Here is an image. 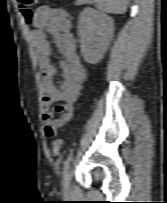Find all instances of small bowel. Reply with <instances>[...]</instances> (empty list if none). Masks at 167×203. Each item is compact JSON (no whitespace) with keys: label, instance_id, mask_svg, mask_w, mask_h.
I'll return each instance as SVG.
<instances>
[{"label":"small bowel","instance_id":"c3829d8e","mask_svg":"<svg viewBox=\"0 0 167 203\" xmlns=\"http://www.w3.org/2000/svg\"><path fill=\"white\" fill-rule=\"evenodd\" d=\"M32 23L31 40L43 79L44 132L47 137H52L73 117L81 84L86 79V69L78 56L72 22L66 12L41 7L35 11ZM48 33L53 36L55 46L63 57L58 67L53 61V50ZM58 73L61 76L59 81L56 80ZM55 103L57 105L52 108Z\"/></svg>","mask_w":167,"mask_h":203}]
</instances>
